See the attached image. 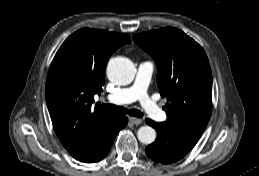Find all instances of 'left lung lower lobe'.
Instances as JSON below:
<instances>
[{"label":"left lung lower lobe","instance_id":"1","mask_svg":"<svg viewBox=\"0 0 259 176\" xmlns=\"http://www.w3.org/2000/svg\"><path fill=\"white\" fill-rule=\"evenodd\" d=\"M145 121L157 131L155 142L146 147V154L153 161L163 164L174 163L183 158L198 141L197 138L172 131L163 123H156L150 119Z\"/></svg>","mask_w":259,"mask_h":176}]
</instances>
